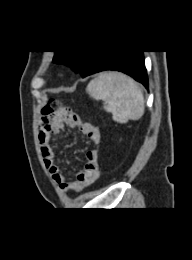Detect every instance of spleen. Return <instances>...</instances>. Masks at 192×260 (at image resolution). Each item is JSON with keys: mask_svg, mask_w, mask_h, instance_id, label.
Here are the masks:
<instances>
[{"mask_svg": "<svg viewBox=\"0 0 192 260\" xmlns=\"http://www.w3.org/2000/svg\"><path fill=\"white\" fill-rule=\"evenodd\" d=\"M87 93L104 102V110L112 113V119L120 124L139 120L145 109L144 95L138 83L122 73L105 72L93 79Z\"/></svg>", "mask_w": 192, "mask_h": 260, "instance_id": "spleen-1", "label": "spleen"}]
</instances>
